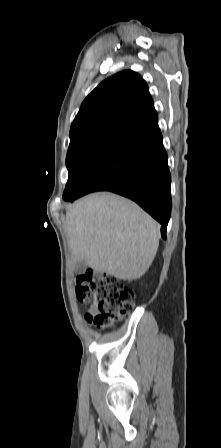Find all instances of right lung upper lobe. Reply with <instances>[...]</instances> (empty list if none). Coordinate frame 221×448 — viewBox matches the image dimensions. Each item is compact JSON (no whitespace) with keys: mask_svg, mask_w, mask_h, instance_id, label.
<instances>
[{"mask_svg":"<svg viewBox=\"0 0 221 448\" xmlns=\"http://www.w3.org/2000/svg\"><path fill=\"white\" fill-rule=\"evenodd\" d=\"M157 117L148 86L131 70L101 82L83 101L70 129L68 151L97 143H117Z\"/></svg>","mask_w":221,"mask_h":448,"instance_id":"obj_1","label":"right lung upper lobe"}]
</instances>
